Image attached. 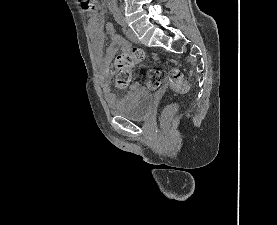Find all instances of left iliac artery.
<instances>
[{
  "mask_svg": "<svg viewBox=\"0 0 277 225\" xmlns=\"http://www.w3.org/2000/svg\"><path fill=\"white\" fill-rule=\"evenodd\" d=\"M118 22L125 28L126 27V23L125 20L121 17L119 18Z\"/></svg>",
  "mask_w": 277,
  "mask_h": 225,
  "instance_id": "obj_1",
  "label": "left iliac artery"
}]
</instances>
